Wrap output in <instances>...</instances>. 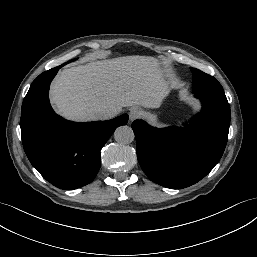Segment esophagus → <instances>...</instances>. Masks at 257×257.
Masks as SVG:
<instances>
[{
	"label": "esophagus",
	"mask_w": 257,
	"mask_h": 257,
	"mask_svg": "<svg viewBox=\"0 0 257 257\" xmlns=\"http://www.w3.org/2000/svg\"><path fill=\"white\" fill-rule=\"evenodd\" d=\"M141 115V112L137 108H133L129 112V120L133 122L134 120L138 119Z\"/></svg>",
	"instance_id": "esophagus-1"
}]
</instances>
